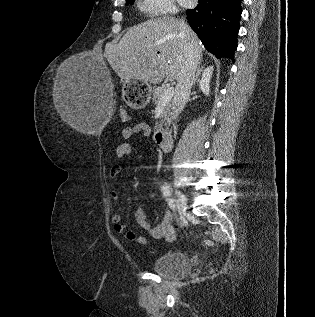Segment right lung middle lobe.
Here are the masks:
<instances>
[{
  "mask_svg": "<svg viewBox=\"0 0 315 317\" xmlns=\"http://www.w3.org/2000/svg\"><path fill=\"white\" fill-rule=\"evenodd\" d=\"M127 4H133L134 3V0H126Z\"/></svg>",
  "mask_w": 315,
  "mask_h": 317,
  "instance_id": "dd1d6c3e",
  "label": "right lung middle lobe"
}]
</instances>
